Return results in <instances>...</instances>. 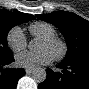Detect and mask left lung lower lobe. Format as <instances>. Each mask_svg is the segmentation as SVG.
<instances>
[{"label": "left lung lower lobe", "mask_w": 89, "mask_h": 89, "mask_svg": "<svg viewBox=\"0 0 89 89\" xmlns=\"http://www.w3.org/2000/svg\"><path fill=\"white\" fill-rule=\"evenodd\" d=\"M58 68L62 73L46 70L47 77L39 89H89V57L62 62Z\"/></svg>", "instance_id": "left-lung-lower-lobe-1"}]
</instances>
